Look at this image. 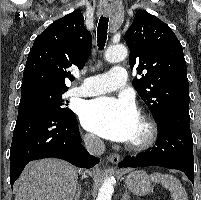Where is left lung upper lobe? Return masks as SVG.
Returning a JSON list of instances; mask_svg holds the SVG:
<instances>
[{"mask_svg": "<svg viewBox=\"0 0 201 200\" xmlns=\"http://www.w3.org/2000/svg\"><path fill=\"white\" fill-rule=\"evenodd\" d=\"M129 64L142 78L133 85L157 120L171 109L189 110V84L182 46L156 16L138 11L124 35Z\"/></svg>", "mask_w": 201, "mask_h": 200, "instance_id": "obj_1", "label": "left lung upper lobe"}]
</instances>
